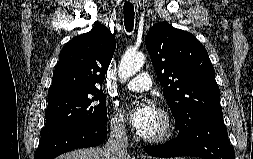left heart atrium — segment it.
Wrapping results in <instances>:
<instances>
[{
	"mask_svg": "<svg viewBox=\"0 0 253 159\" xmlns=\"http://www.w3.org/2000/svg\"><path fill=\"white\" fill-rule=\"evenodd\" d=\"M156 109L150 103L132 106L129 109V116L132 124L140 134H145L156 116Z\"/></svg>",
	"mask_w": 253,
	"mask_h": 159,
	"instance_id": "obj_1",
	"label": "left heart atrium"
}]
</instances>
